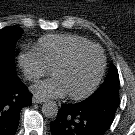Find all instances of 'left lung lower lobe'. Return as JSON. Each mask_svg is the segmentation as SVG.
Wrapping results in <instances>:
<instances>
[{
	"label": "left lung lower lobe",
	"instance_id": "left-lung-lower-lobe-1",
	"mask_svg": "<svg viewBox=\"0 0 135 135\" xmlns=\"http://www.w3.org/2000/svg\"><path fill=\"white\" fill-rule=\"evenodd\" d=\"M119 95L90 96L76 104H62L50 123L52 135H103L111 126L119 106Z\"/></svg>",
	"mask_w": 135,
	"mask_h": 135
}]
</instances>
